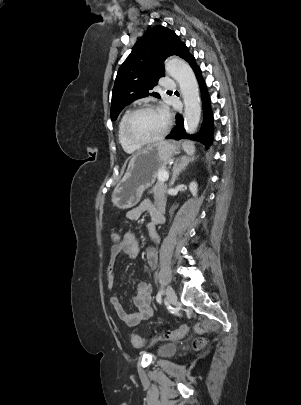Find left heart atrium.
Here are the masks:
<instances>
[{
	"label": "left heart atrium",
	"instance_id": "1",
	"mask_svg": "<svg viewBox=\"0 0 301 405\" xmlns=\"http://www.w3.org/2000/svg\"><path fill=\"white\" fill-rule=\"evenodd\" d=\"M160 112H161L164 116L167 115V110H166V109H162Z\"/></svg>",
	"mask_w": 301,
	"mask_h": 405
}]
</instances>
